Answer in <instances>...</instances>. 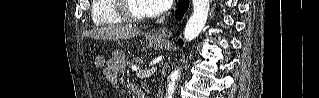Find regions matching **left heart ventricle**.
<instances>
[{"instance_id": "1", "label": "left heart ventricle", "mask_w": 319, "mask_h": 98, "mask_svg": "<svg viewBox=\"0 0 319 98\" xmlns=\"http://www.w3.org/2000/svg\"><path fill=\"white\" fill-rule=\"evenodd\" d=\"M128 11L135 16H142L148 14L144 2L141 0H130L128 1Z\"/></svg>"}]
</instances>
